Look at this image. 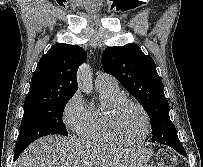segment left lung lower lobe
Masks as SVG:
<instances>
[{
  "instance_id": "0a47b994",
  "label": "left lung lower lobe",
  "mask_w": 203,
  "mask_h": 167,
  "mask_svg": "<svg viewBox=\"0 0 203 167\" xmlns=\"http://www.w3.org/2000/svg\"><path fill=\"white\" fill-rule=\"evenodd\" d=\"M160 143H163L173 149H175L177 152L181 153L182 155H185V151H183V146L180 143L178 137L169 136L161 140Z\"/></svg>"
}]
</instances>
